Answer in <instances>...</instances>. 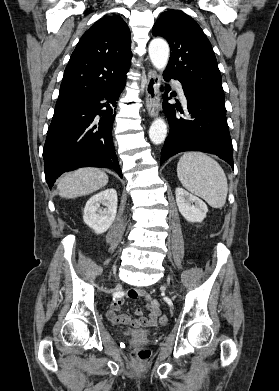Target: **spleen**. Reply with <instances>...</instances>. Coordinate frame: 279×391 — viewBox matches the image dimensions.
I'll use <instances>...</instances> for the list:
<instances>
[{
    "mask_svg": "<svg viewBox=\"0 0 279 391\" xmlns=\"http://www.w3.org/2000/svg\"><path fill=\"white\" fill-rule=\"evenodd\" d=\"M177 176L190 192L221 209L227 198L226 175L217 161L202 152H187L177 164Z\"/></svg>",
    "mask_w": 279,
    "mask_h": 391,
    "instance_id": "1",
    "label": "spleen"
}]
</instances>
